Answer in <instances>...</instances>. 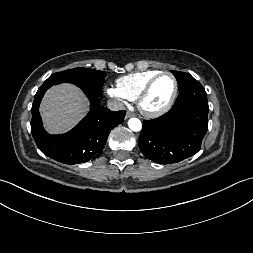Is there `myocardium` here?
Returning a JSON list of instances; mask_svg holds the SVG:
<instances>
[{
    "label": "myocardium",
    "instance_id": "1",
    "mask_svg": "<svg viewBox=\"0 0 253 253\" xmlns=\"http://www.w3.org/2000/svg\"><path fill=\"white\" fill-rule=\"evenodd\" d=\"M168 75L173 79L174 82V88H173V92L169 98V100L167 101V103L156 110H150L148 108L145 107L144 102L145 99L147 98V96L149 95L152 86L154 85V83L162 76ZM178 89H179V85H178V81L176 76L169 71H161L158 74H156L154 77H152L147 83L146 85L143 87V89L141 90V92L139 93L137 99H136V104L137 107L139 109V111L146 117L148 118H157L160 117L164 114H166L174 105L175 100L177 98L178 95Z\"/></svg>",
    "mask_w": 253,
    "mask_h": 253
}]
</instances>
